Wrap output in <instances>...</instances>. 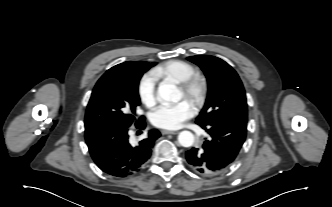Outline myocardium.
<instances>
[{
    "instance_id": "1",
    "label": "myocardium",
    "mask_w": 332,
    "mask_h": 207,
    "mask_svg": "<svg viewBox=\"0 0 332 207\" xmlns=\"http://www.w3.org/2000/svg\"><path fill=\"white\" fill-rule=\"evenodd\" d=\"M179 87L184 97L194 105L199 106L202 104L207 91V80L204 75L194 72L186 80L179 83Z\"/></svg>"
}]
</instances>
